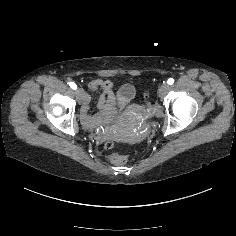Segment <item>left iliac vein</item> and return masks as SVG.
Here are the masks:
<instances>
[{
  "label": "left iliac vein",
  "mask_w": 236,
  "mask_h": 236,
  "mask_svg": "<svg viewBox=\"0 0 236 236\" xmlns=\"http://www.w3.org/2000/svg\"><path fill=\"white\" fill-rule=\"evenodd\" d=\"M169 85L164 83L159 87V94L160 95H165L169 91Z\"/></svg>",
  "instance_id": "1"
}]
</instances>
